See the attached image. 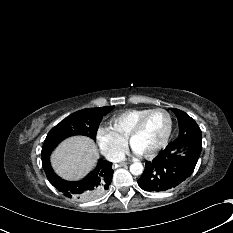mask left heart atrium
<instances>
[{"mask_svg":"<svg viewBox=\"0 0 233 233\" xmlns=\"http://www.w3.org/2000/svg\"><path fill=\"white\" fill-rule=\"evenodd\" d=\"M133 153L135 154H140L138 151H136L134 148H133Z\"/></svg>","mask_w":233,"mask_h":233,"instance_id":"obj_1","label":"left heart atrium"}]
</instances>
